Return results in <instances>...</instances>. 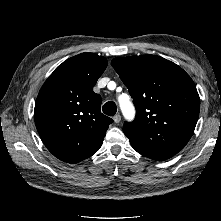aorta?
Returning a JSON list of instances; mask_svg holds the SVG:
<instances>
[{
	"mask_svg": "<svg viewBox=\"0 0 221 221\" xmlns=\"http://www.w3.org/2000/svg\"><path fill=\"white\" fill-rule=\"evenodd\" d=\"M121 110L126 117H132L134 115V107L132 103H120Z\"/></svg>",
	"mask_w": 221,
	"mask_h": 221,
	"instance_id": "1",
	"label": "aorta"
}]
</instances>
